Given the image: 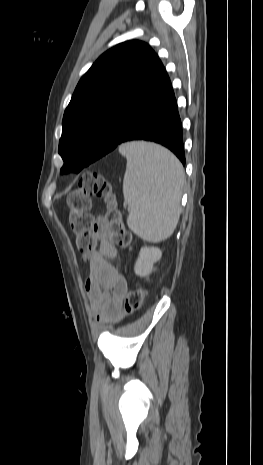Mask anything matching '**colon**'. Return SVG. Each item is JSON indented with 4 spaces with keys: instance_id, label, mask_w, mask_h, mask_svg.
<instances>
[{
    "instance_id": "colon-1",
    "label": "colon",
    "mask_w": 263,
    "mask_h": 465,
    "mask_svg": "<svg viewBox=\"0 0 263 465\" xmlns=\"http://www.w3.org/2000/svg\"><path fill=\"white\" fill-rule=\"evenodd\" d=\"M103 197L108 205L104 217L95 218L90 213L91 201ZM69 207V226L76 237V246L80 253L89 258L97 246L96 231L104 226L111 241L122 249L132 247V236L125 228L121 215L116 208V198L110 182L100 173H85L78 187L67 196ZM145 298L142 286H136L125 297L124 310L127 314L139 310Z\"/></svg>"
}]
</instances>
